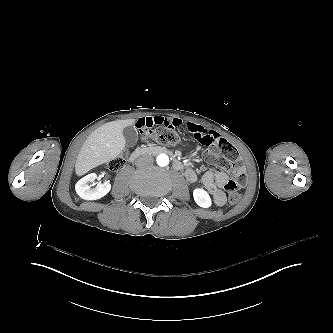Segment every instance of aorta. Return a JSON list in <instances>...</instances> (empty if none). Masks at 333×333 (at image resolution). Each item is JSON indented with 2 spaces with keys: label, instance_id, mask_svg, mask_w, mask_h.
I'll return each instance as SVG.
<instances>
[{
  "label": "aorta",
  "instance_id": "obj_1",
  "mask_svg": "<svg viewBox=\"0 0 333 333\" xmlns=\"http://www.w3.org/2000/svg\"><path fill=\"white\" fill-rule=\"evenodd\" d=\"M157 164L161 167H165L169 164V157L166 154H160L157 157Z\"/></svg>",
  "mask_w": 333,
  "mask_h": 333
}]
</instances>
